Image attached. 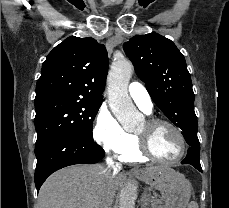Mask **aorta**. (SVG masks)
I'll list each match as a JSON object with an SVG mask.
<instances>
[{
	"instance_id": "1",
	"label": "aorta",
	"mask_w": 229,
	"mask_h": 208,
	"mask_svg": "<svg viewBox=\"0 0 229 208\" xmlns=\"http://www.w3.org/2000/svg\"><path fill=\"white\" fill-rule=\"evenodd\" d=\"M132 72L131 62L117 61L112 64L107 79L109 106L126 130H133L143 120V115L136 109L128 94V84ZM136 198V185L127 183L120 193L119 208H135Z\"/></svg>"
}]
</instances>
